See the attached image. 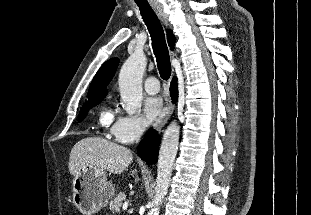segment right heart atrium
Here are the masks:
<instances>
[{"instance_id":"right-heart-atrium-1","label":"right heart atrium","mask_w":311,"mask_h":215,"mask_svg":"<svg viewBox=\"0 0 311 215\" xmlns=\"http://www.w3.org/2000/svg\"><path fill=\"white\" fill-rule=\"evenodd\" d=\"M111 136L119 143L131 144L144 133V127L139 118L131 115H120L107 121Z\"/></svg>"}]
</instances>
